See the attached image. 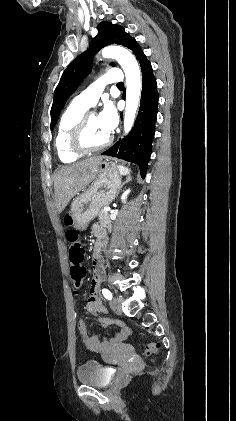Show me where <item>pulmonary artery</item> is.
<instances>
[{"mask_svg":"<svg viewBox=\"0 0 236 421\" xmlns=\"http://www.w3.org/2000/svg\"><path fill=\"white\" fill-rule=\"evenodd\" d=\"M123 72L121 69H108L106 75H102L98 81L83 91L81 95L75 98V102L85 108L94 106L101 95L104 87L111 83L117 85L122 80Z\"/></svg>","mask_w":236,"mask_h":421,"instance_id":"pulmonary-artery-1","label":"pulmonary artery"}]
</instances>
